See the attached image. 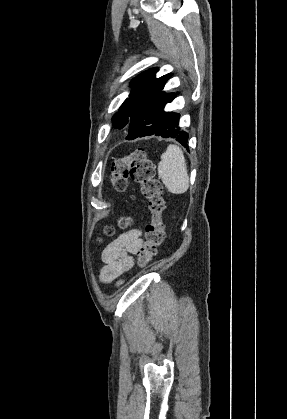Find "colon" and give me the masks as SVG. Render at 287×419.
Wrapping results in <instances>:
<instances>
[{
  "mask_svg": "<svg viewBox=\"0 0 287 419\" xmlns=\"http://www.w3.org/2000/svg\"><path fill=\"white\" fill-rule=\"evenodd\" d=\"M128 177L139 185L151 212L150 220L145 227V242L137 252L138 265L145 266L156 257L158 247L164 240L162 212L165 208V201L163 189L160 181L155 178L154 164L141 148L126 156L116 158L111 165L110 179L116 191L124 192L126 190ZM129 224L130 220L127 218L120 220L121 227H126ZM104 233L111 236L114 233V228L108 225L104 228Z\"/></svg>",
  "mask_w": 287,
  "mask_h": 419,
  "instance_id": "colon-1",
  "label": "colon"
}]
</instances>
